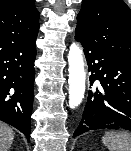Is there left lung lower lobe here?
I'll return each mask as SVG.
<instances>
[{
  "label": "left lung lower lobe",
  "mask_w": 131,
  "mask_h": 151,
  "mask_svg": "<svg viewBox=\"0 0 131 151\" xmlns=\"http://www.w3.org/2000/svg\"><path fill=\"white\" fill-rule=\"evenodd\" d=\"M81 42L91 72L88 100L73 137L91 130L125 129L131 131V63L106 51Z\"/></svg>",
  "instance_id": "1"
}]
</instances>
